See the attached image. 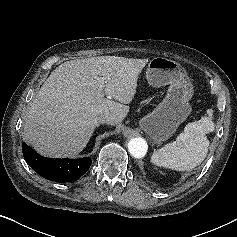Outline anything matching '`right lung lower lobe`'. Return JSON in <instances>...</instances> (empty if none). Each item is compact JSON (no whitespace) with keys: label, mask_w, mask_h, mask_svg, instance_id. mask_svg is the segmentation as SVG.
Instances as JSON below:
<instances>
[{"label":"right lung lower lobe","mask_w":237,"mask_h":237,"mask_svg":"<svg viewBox=\"0 0 237 237\" xmlns=\"http://www.w3.org/2000/svg\"><path fill=\"white\" fill-rule=\"evenodd\" d=\"M23 156L29 166L42 177L58 183L71 182L81 177L90 167V158L54 159L40 156L23 143Z\"/></svg>","instance_id":"right-lung-lower-lobe-1"}]
</instances>
